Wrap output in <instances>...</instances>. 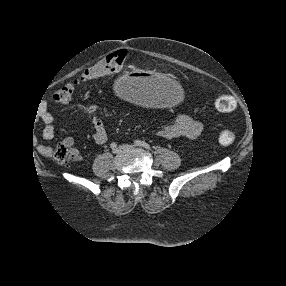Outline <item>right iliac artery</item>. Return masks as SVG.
I'll use <instances>...</instances> for the list:
<instances>
[{"label": "right iliac artery", "mask_w": 286, "mask_h": 286, "mask_svg": "<svg viewBox=\"0 0 286 286\" xmlns=\"http://www.w3.org/2000/svg\"><path fill=\"white\" fill-rule=\"evenodd\" d=\"M110 147H111L112 149H114V148L117 147V144H116L115 142H112V143L110 144Z\"/></svg>", "instance_id": "obj_1"}]
</instances>
